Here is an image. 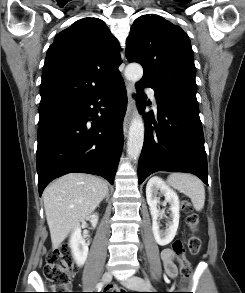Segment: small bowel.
<instances>
[{
  "mask_svg": "<svg viewBox=\"0 0 245 293\" xmlns=\"http://www.w3.org/2000/svg\"><path fill=\"white\" fill-rule=\"evenodd\" d=\"M161 258H162L167 275L170 278H176L178 275V268L174 261V256L172 251L170 249H165L161 254Z\"/></svg>",
  "mask_w": 245,
  "mask_h": 293,
  "instance_id": "1",
  "label": "small bowel"
}]
</instances>
